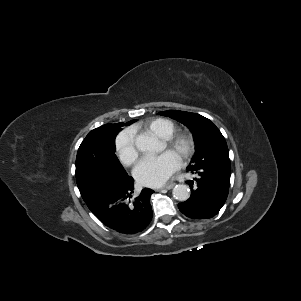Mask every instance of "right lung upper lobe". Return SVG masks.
Returning a JSON list of instances; mask_svg holds the SVG:
<instances>
[{"mask_svg":"<svg viewBox=\"0 0 301 301\" xmlns=\"http://www.w3.org/2000/svg\"><path fill=\"white\" fill-rule=\"evenodd\" d=\"M133 122H135V120H132V121L126 123V125H130V124L133 123ZM123 125H124L123 123L106 124V125H103V126H101V127H99V128H96V129H98V130H104V131H107V132H111V133H112V132L118 131L119 129L121 130V126H123ZM98 180H99V179H96V180L93 182V184L96 183Z\"/></svg>","mask_w":301,"mask_h":301,"instance_id":"1","label":"right lung upper lobe"}]
</instances>
